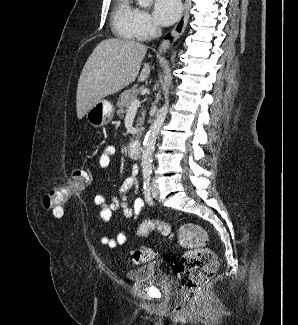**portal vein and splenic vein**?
Segmentation results:
<instances>
[{
    "label": "portal vein and splenic vein",
    "mask_w": 298,
    "mask_h": 325,
    "mask_svg": "<svg viewBox=\"0 0 298 325\" xmlns=\"http://www.w3.org/2000/svg\"><path fill=\"white\" fill-rule=\"evenodd\" d=\"M139 106H141L139 98H134V100L130 102V106H127V114H130V112H137Z\"/></svg>",
    "instance_id": "1"
}]
</instances>
